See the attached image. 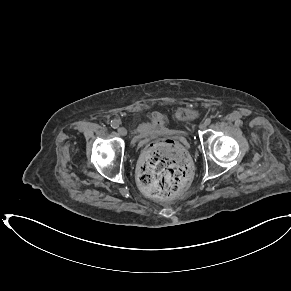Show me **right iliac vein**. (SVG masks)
Here are the masks:
<instances>
[{"mask_svg": "<svg viewBox=\"0 0 291 291\" xmlns=\"http://www.w3.org/2000/svg\"><path fill=\"white\" fill-rule=\"evenodd\" d=\"M117 132L120 136H125L127 134V130L125 127H119Z\"/></svg>", "mask_w": 291, "mask_h": 291, "instance_id": "1", "label": "right iliac vein"}]
</instances>
